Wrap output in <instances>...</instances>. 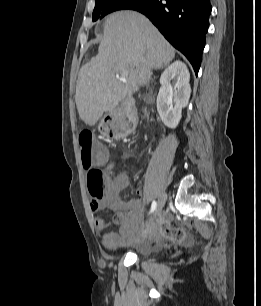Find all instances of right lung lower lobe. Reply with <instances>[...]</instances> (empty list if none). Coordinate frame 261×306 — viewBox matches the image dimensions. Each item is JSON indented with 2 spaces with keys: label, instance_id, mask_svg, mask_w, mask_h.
Segmentation results:
<instances>
[{
  "label": "right lung lower lobe",
  "instance_id": "right-lung-lower-lobe-1",
  "mask_svg": "<svg viewBox=\"0 0 261 306\" xmlns=\"http://www.w3.org/2000/svg\"><path fill=\"white\" fill-rule=\"evenodd\" d=\"M141 0L130 9L146 15L164 37L200 68L211 14L210 0Z\"/></svg>",
  "mask_w": 261,
  "mask_h": 306
}]
</instances>
